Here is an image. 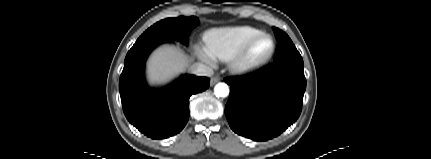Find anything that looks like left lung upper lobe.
<instances>
[{
  "label": "left lung upper lobe",
  "mask_w": 431,
  "mask_h": 159,
  "mask_svg": "<svg viewBox=\"0 0 431 159\" xmlns=\"http://www.w3.org/2000/svg\"><path fill=\"white\" fill-rule=\"evenodd\" d=\"M273 30L278 41V50L275 62L283 60L303 61L289 36L278 28L274 27Z\"/></svg>",
  "instance_id": "1"
}]
</instances>
